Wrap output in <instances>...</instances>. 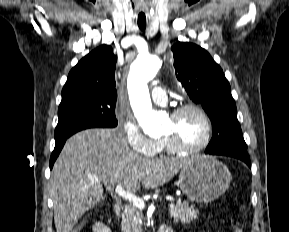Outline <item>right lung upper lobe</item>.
Returning a JSON list of instances; mask_svg holds the SVG:
<instances>
[{"label":"right lung upper lobe","instance_id":"obj_1","mask_svg":"<svg viewBox=\"0 0 289 232\" xmlns=\"http://www.w3.org/2000/svg\"><path fill=\"white\" fill-rule=\"evenodd\" d=\"M116 61L117 56L108 45H102L82 58L68 75L61 103L89 96L117 99Z\"/></svg>","mask_w":289,"mask_h":232}]
</instances>
